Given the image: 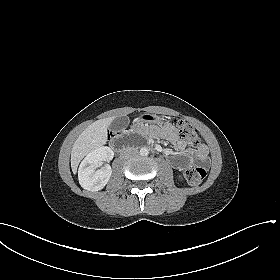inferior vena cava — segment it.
<instances>
[{
    "label": "inferior vena cava",
    "mask_w": 280,
    "mask_h": 280,
    "mask_svg": "<svg viewBox=\"0 0 280 280\" xmlns=\"http://www.w3.org/2000/svg\"><path fill=\"white\" fill-rule=\"evenodd\" d=\"M137 153H138V151L135 148L126 147L122 150L121 157L127 159L132 156H135Z\"/></svg>",
    "instance_id": "1"
}]
</instances>
